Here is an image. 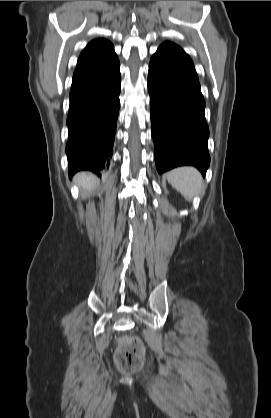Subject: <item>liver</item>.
<instances>
[{"label":"liver","instance_id":"liver-1","mask_svg":"<svg viewBox=\"0 0 271 418\" xmlns=\"http://www.w3.org/2000/svg\"><path fill=\"white\" fill-rule=\"evenodd\" d=\"M75 181L81 186V188L90 189L96 184L97 179L91 173L81 172L75 176Z\"/></svg>","mask_w":271,"mask_h":418}]
</instances>
